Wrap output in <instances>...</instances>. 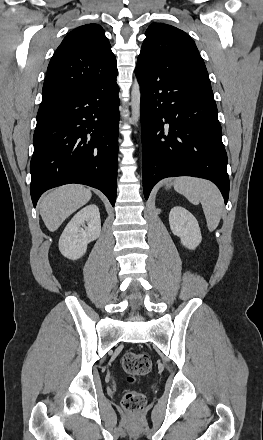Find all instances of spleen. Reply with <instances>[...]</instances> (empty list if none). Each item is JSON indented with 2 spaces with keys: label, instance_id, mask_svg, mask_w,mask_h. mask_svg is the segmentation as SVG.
Wrapping results in <instances>:
<instances>
[{
  "label": "spleen",
  "instance_id": "1",
  "mask_svg": "<svg viewBox=\"0 0 263 440\" xmlns=\"http://www.w3.org/2000/svg\"><path fill=\"white\" fill-rule=\"evenodd\" d=\"M174 189L184 195L192 204L201 203L207 226L210 231L217 228L224 208L223 197L219 189L210 181L181 176L173 181Z\"/></svg>",
  "mask_w": 263,
  "mask_h": 440
}]
</instances>
